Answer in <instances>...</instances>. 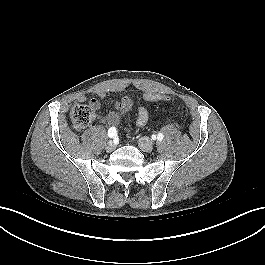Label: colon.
I'll use <instances>...</instances> for the list:
<instances>
[{"label": "colon", "mask_w": 265, "mask_h": 265, "mask_svg": "<svg viewBox=\"0 0 265 265\" xmlns=\"http://www.w3.org/2000/svg\"><path fill=\"white\" fill-rule=\"evenodd\" d=\"M167 97L160 96L155 92H148L145 95V100L149 102H155L159 100H166ZM120 105L117 104L116 108L119 109ZM182 111H185V107H182ZM96 107L90 103L76 104L70 113L71 120L75 129H83L87 127L95 118Z\"/></svg>", "instance_id": "obj_1"}]
</instances>
